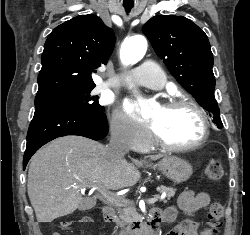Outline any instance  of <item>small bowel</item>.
<instances>
[{
  "mask_svg": "<svg viewBox=\"0 0 250 235\" xmlns=\"http://www.w3.org/2000/svg\"><path fill=\"white\" fill-rule=\"evenodd\" d=\"M210 204V196L205 192L194 193L185 191L178 200L179 208L186 214H194ZM176 208H168L162 215L161 221L167 225L165 235H213L210 228L201 229L196 221H187L184 224L174 225Z\"/></svg>",
  "mask_w": 250,
  "mask_h": 235,
  "instance_id": "c3829d8e",
  "label": "small bowel"
}]
</instances>
